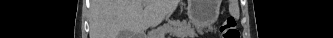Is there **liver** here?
Returning <instances> with one entry per match:
<instances>
[{"mask_svg":"<svg viewBox=\"0 0 333 38\" xmlns=\"http://www.w3.org/2000/svg\"><path fill=\"white\" fill-rule=\"evenodd\" d=\"M179 0H92L90 38H119L121 31L139 34L172 13Z\"/></svg>","mask_w":333,"mask_h":38,"instance_id":"1","label":"liver"}]
</instances>
